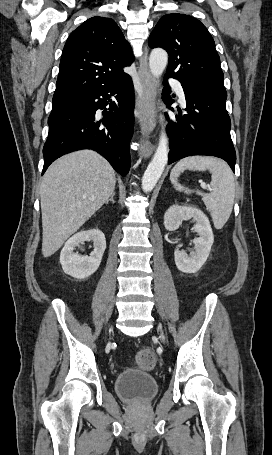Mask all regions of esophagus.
I'll return each instance as SVG.
<instances>
[{"label": "esophagus", "mask_w": 272, "mask_h": 455, "mask_svg": "<svg viewBox=\"0 0 272 455\" xmlns=\"http://www.w3.org/2000/svg\"><path fill=\"white\" fill-rule=\"evenodd\" d=\"M147 47H144V54L139 62L138 76L142 88V94L138 97L136 116L140 122L141 132L147 135L156 125V111L154 108L155 88L152 75L148 68ZM154 147L146 139L143 141L142 152L145 157H149Z\"/></svg>", "instance_id": "obj_1"}]
</instances>
